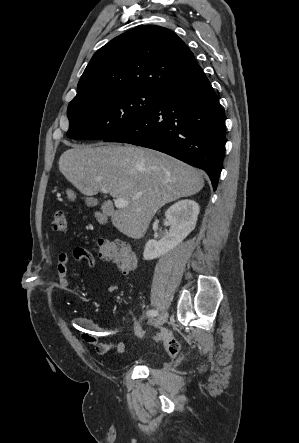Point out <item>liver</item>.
I'll return each instance as SVG.
<instances>
[{"instance_id": "1", "label": "liver", "mask_w": 299, "mask_h": 443, "mask_svg": "<svg viewBox=\"0 0 299 443\" xmlns=\"http://www.w3.org/2000/svg\"><path fill=\"white\" fill-rule=\"evenodd\" d=\"M59 170L82 194L102 188L128 206L114 210L111 200L101 210L123 234L141 238L165 204L198 193L204 186L194 167L166 154L135 146H73L59 159Z\"/></svg>"}]
</instances>
